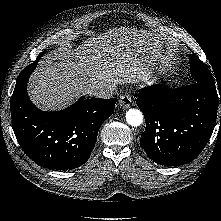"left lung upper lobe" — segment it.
I'll use <instances>...</instances> for the list:
<instances>
[{
  "instance_id": "5c2ea615",
  "label": "left lung upper lobe",
  "mask_w": 221,
  "mask_h": 221,
  "mask_svg": "<svg viewBox=\"0 0 221 221\" xmlns=\"http://www.w3.org/2000/svg\"><path fill=\"white\" fill-rule=\"evenodd\" d=\"M190 70L194 82H202L210 88H215V83L210 70L194 54H190ZM220 89V88H219ZM218 90V89H217Z\"/></svg>"
}]
</instances>
